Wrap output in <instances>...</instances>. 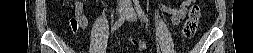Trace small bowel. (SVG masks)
I'll return each mask as SVG.
<instances>
[{
    "mask_svg": "<svg viewBox=\"0 0 253 53\" xmlns=\"http://www.w3.org/2000/svg\"><path fill=\"white\" fill-rule=\"evenodd\" d=\"M191 0H184L179 8H173V7H164L165 11L171 15L172 18V22L174 24H178L180 22L181 19L184 18L185 14H186V10L187 7L191 4ZM76 7L79 9H83L82 4L81 3H76ZM78 19H79V27L82 31L86 30L87 27V18L86 16L81 13L80 15H78Z\"/></svg>",
    "mask_w": 253,
    "mask_h": 53,
    "instance_id": "1",
    "label": "small bowel"
}]
</instances>
